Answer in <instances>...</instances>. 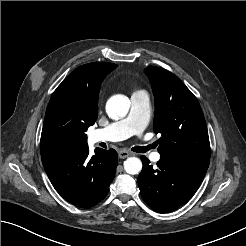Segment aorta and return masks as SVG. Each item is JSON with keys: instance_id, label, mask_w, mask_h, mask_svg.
I'll use <instances>...</instances> for the list:
<instances>
[{"instance_id": "1", "label": "aorta", "mask_w": 246, "mask_h": 246, "mask_svg": "<svg viewBox=\"0 0 246 246\" xmlns=\"http://www.w3.org/2000/svg\"><path fill=\"white\" fill-rule=\"evenodd\" d=\"M130 108V101L126 96L116 95L111 97L106 104V111L112 118L125 117ZM124 169L128 174L135 175L142 170L139 158L129 157L124 161Z\"/></svg>"}]
</instances>
